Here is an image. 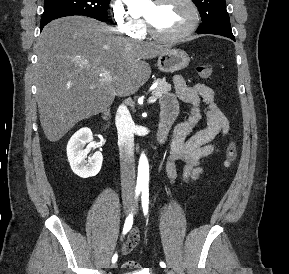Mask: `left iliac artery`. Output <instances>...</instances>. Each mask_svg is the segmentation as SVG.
<instances>
[{
  "mask_svg": "<svg viewBox=\"0 0 289 274\" xmlns=\"http://www.w3.org/2000/svg\"><path fill=\"white\" fill-rule=\"evenodd\" d=\"M141 201H142L143 213L146 216L148 214V207H149V190L147 187H144L142 189ZM160 266L162 268H166V264L162 261L160 262Z\"/></svg>",
  "mask_w": 289,
  "mask_h": 274,
  "instance_id": "1",
  "label": "left iliac artery"
}]
</instances>
